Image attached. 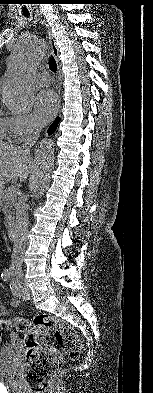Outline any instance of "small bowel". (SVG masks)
<instances>
[{"mask_svg": "<svg viewBox=\"0 0 153 393\" xmlns=\"http://www.w3.org/2000/svg\"><path fill=\"white\" fill-rule=\"evenodd\" d=\"M10 305L12 308H17L20 305V299L13 297L10 299ZM11 310L0 304V317L6 316Z\"/></svg>", "mask_w": 153, "mask_h": 393, "instance_id": "c3829d8e", "label": "small bowel"}]
</instances>
